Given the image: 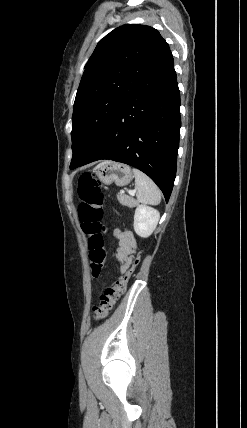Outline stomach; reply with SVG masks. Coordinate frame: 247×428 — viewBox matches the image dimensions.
<instances>
[{
    "mask_svg": "<svg viewBox=\"0 0 247 428\" xmlns=\"http://www.w3.org/2000/svg\"><path fill=\"white\" fill-rule=\"evenodd\" d=\"M95 173L103 184L111 185L115 183L119 187L128 185L133 178L130 166L113 161L100 164Z\"/></svg>",
    "mask_w": 247,
    "mask_h": 428,
    "instance_id": "0dacf381",
    "label": "stomach"
}]
</instances>
